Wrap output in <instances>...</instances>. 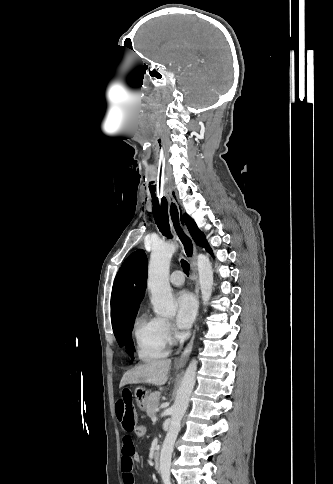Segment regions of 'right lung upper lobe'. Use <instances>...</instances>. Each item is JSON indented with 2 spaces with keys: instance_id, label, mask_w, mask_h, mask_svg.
<instances>
[{
  "instance_id": "right-lung-upper-lobe-1",
  "label": "right lung upper lobe",
  "mask_w": 333,
  "mask_h": 484,
  "mask_svg": "<svg viewBox=\"0 0 333 484\" xmlns=\"http://www.w3.org/2000/svg\"><path fill=\"white\" fill-rule=\"evenodd\" d=\"M147 278V257L144 250L133 252L120 268L112 289V327L117 328L130 314L137 312L144 297Z\"/></svg>"
}]
</instances>
